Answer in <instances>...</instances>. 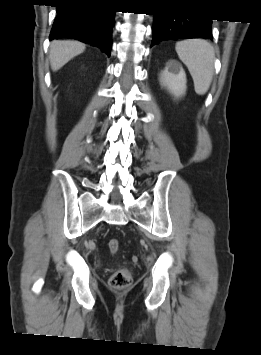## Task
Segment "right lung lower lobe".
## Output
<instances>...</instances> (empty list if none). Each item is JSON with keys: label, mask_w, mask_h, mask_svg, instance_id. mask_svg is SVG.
I'll return each instance as SVG.
<instances>
[{"label": "right lung lower lobe", "mask_w": 261, "mask_h": 355, "mask_svg": "<svg viewBox=\"0 0 261 355\" xmlns=\"http://www.w3.org/2000/svg\"><path fill=\"white\" fill-rule=\"evenodd\" d=\"M50 40L74 38L110 56L115 11L103 0H59Z\"/></svg>", "instance_id": "98d812e1"}]
</instances>
